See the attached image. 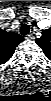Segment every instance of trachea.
Returning a JSON list of instances; mask_svg holds the SVG:
<instances>
[{
  "instance_id": "1",
  "label": "trachea",
  "mask_w": 51,
  "mask_h": 101,
  "mask_svg": "<svg viewBox=\"0 0 51 101\" xmlns=\"http://www.w3.org/2000/svg\"><path fill=\"white\" fill-rule=\"evenodd\" d=\"M30 32V27L27 25V24H23L21 27H20V33L22 35H27L29 34Z\"/></svg>"
}]
</instances>
